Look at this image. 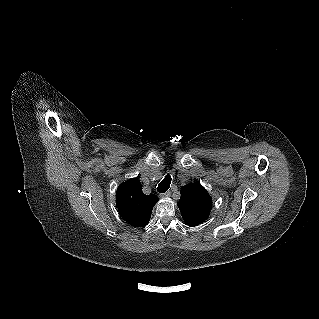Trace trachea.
<instances>
[{
	"mask_svg": "<svg viewBox=\"0 0 319 319\" xmlns=\"http://www.w3.org/2000/svg\"><path fill=\"white\" fill-rule=\"evenodd\" d=\"M171 180H172L171 176L167 174L165 178L161 181V183L158 185L157 191L159 193H165L170 187Z\"/></svg>",
	"mask_w": 319,
	"mask_h": 319,
	"instance_id": "trachea-1",
	"label": "trachea"
}]
</instances>
